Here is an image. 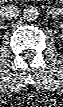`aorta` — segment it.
<instances>
[{
	"mask_svg": "<svg viewBox=\"0 0 63 107\" xmlns=\"http://www.w3.org/2000/svg\"><path fill=\"white\" fill-rule=\"evenodd\" d=\"M39 16V12L35 6H26L23 9V18L27 21H35Z\"/></svg>",
	"mask_w": 63,
	"mask_h": 107,
	"instance_id": "aorta-1",
	"label": "aorta"
}]
</instances>
